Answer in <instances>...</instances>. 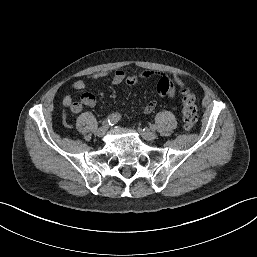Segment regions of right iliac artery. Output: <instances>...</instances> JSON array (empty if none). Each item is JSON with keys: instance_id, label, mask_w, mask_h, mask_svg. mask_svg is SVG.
Wrapping results in <instances>:
<instances>
[{"instance_id": "right-iliac-artery-1", "label": "right iliac artery", "mask_w": 257, "mask_h": 257, "mask_svg": "<svg viewBox=\"0 0 257 257\" xmlns=\"http://www.w3.org/2000/svg\"><path fill=\"white\" fill-rule=\"evenodd\" d=\"M121 119V115L119 113H113L107 117V119L103 122L105 125H114Z\"/></svg>"}]
</instances>
